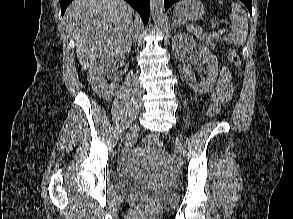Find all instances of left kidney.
<instances>
[{"mask_svg":"<svg viewBox=\"0 0 293 219\" xmlns=\"http://www.w3.org/2000/svg\"><path fill=\"white\" fill-rule=\"evenodd\" d=\"M196 42L187 34L177 33L173 37L172 49L174 55L183 63L185 62V56L189 52L190 48L195 46ZM200 54L203 56L204 62L207 64V77L200 82L192 73L189 66L184 64L183 71L187 82L191 88L199 94L208 93L214 86L218 77V60L217 57L206 47L199 45Z\"/></svg>","mask_w":293,"mask_h":219,"instance_id":"1","label":"left kidney"}]
</instances>
